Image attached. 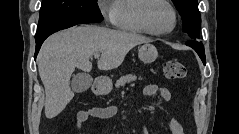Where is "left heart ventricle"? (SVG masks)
<instances>
[{"mask_svg": "<svg viewBox=\"0 0 239 134\" xmlns=\"http://www.w3.org/2000/svg\"><path fill=\"white\" fill-rule=\"evenodd\" d=\"M149 21L156 31H165L172 26L173 16L170 9L161 2H154L149 9Z\"/></svg>", "mask_w": 239, "mask_h": 134, "instance_id": "obj_1", "label": "left heart ventricle"}]
</instances>
